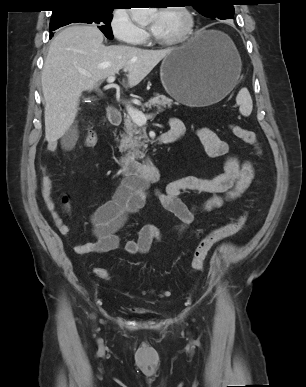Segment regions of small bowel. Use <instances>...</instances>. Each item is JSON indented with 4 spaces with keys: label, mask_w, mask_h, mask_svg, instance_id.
Returning a JSON list of instances; mask_svg holds the SVG:
<instances>
[{
    "label": "small bowel",
    "mask_w": 306,
    "mask_h": 387,
    "mask_svg": "<svg viewBox=\"0 0 306 387\" xmlns=\"http://www.w3.org/2000/svg\"><path fill=\"white\" fill-rule=\"evenodd\" d=\"M169 133L178 134L180 138L185 133V125L178 118L169 121ZM207 155L211 158L225 157L223 172L212 177L202 178L188 175L169 182L164 190L154 191V195L162 206L180 221L177 233L182 235L196 220V209L181 199L184 192L209 194L210 197L202 204L201 209L211 211L223 206L225 202L233 201L242 196L250 187L254 179V168L249 161H241L231 155L227 142L207 127L196 130ZM77 140V130L71 127L61 139L63 150L70 151ZM45 151L55 155L56 142H48ZM41 193L44 203L51 217L62 234L69 228L64 224L56 210V203L52 196V176L43 168ZM149 195L146 182L126 179L118 186L114 196L97 207L90 215L94 240L74 246L77 254H97L116 250L121 245L119 231L127 219L143 207ZM160 229L154 224L144 225L138 232L136 239L127 240L123 248L130 255L147 254L153 243L162 242Z\"/></svg>",
    "instance_id": "1"
}]
</instances>
